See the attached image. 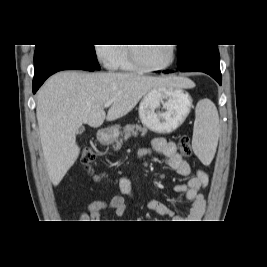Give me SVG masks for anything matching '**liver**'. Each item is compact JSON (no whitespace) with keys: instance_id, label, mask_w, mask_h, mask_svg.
Instances as JSON below:
<instances>
[{"instance_id":"obj_1","label":"liver","mask_w":267,"mask_h":267,"mask_svg":"<svg viewBox=\"0 0 267 267\" xmlns=\"http://www.w3.org/2000/svg\"><path fill=\"white\" fill-rule=\"evenodd\" d=\"M160 87L193 88L184 77H153L134 73L62 71L50 77L37 93L36 116L50 181L57 186L77 160V130L93 128L106 119L128 114L149 91ZM107 101H113L107 112Z\"/></svg>"}]
</instances>
